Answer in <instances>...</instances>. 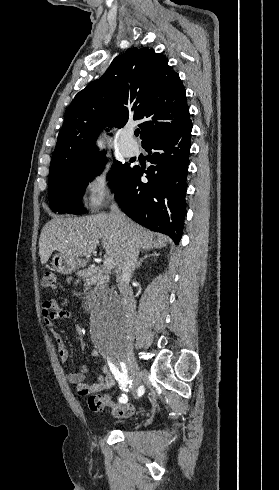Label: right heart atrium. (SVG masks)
Returning <instances> with one entry per match:
<instances>
[{
	"instance_id": "right-heart-atrium-1",
	"label": "right heart atrium",
	"mask_w": 279,
	"mask_h": 490,
	"mask_svg": "<svg viewBox=\"0 0 279 490\" xmlns=\"http://www.w3.org/2000/svg\"><path fill=\"white\" fill-rule=\"evenodd\" d=\"M115 190L114 170L110 164L100 163L85 176L83 183L85 206L96 212L106 202L109 193Z\"/></svg>"
}]
</instances>
